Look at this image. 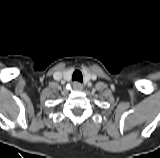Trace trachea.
<instances>
[{
	"instance_id": "trachea-1",
	"label": "trachea",
	"mask_w": 160,
	"mask_h": 158,
	"mask_svg": "<svg viewBox=\"0 0 160 158\" xmlns=\"http://www.w3.org/2000/svg\"><path fill=\"white\" fill-rule=\"evenodd\" d=\"M72 80H73V81L82 82L83 76H82L81 71L75 70V71L73 72V75H72Z\"/></svg>"
}]
</instances>
